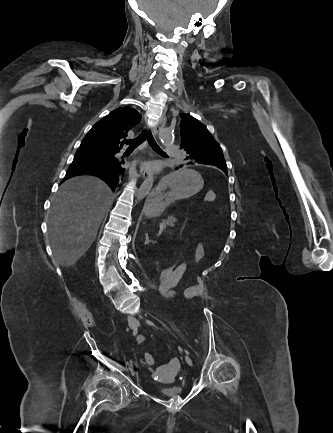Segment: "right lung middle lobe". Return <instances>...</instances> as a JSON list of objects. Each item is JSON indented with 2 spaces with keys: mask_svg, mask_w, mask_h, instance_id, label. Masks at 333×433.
Instances as JSON below:
<instances>
[{
  "mask_svg": "<svg viewBox=\"0 0 333 433\" xmlns=\"http://www.w3.org/2000/svg\"><path fill=\"white\" fill-rule=\"evenodd\" d=\"M78 156H92V157H108L113 156L115 153L105 152L102 150H98L94 147H88V146H80L77 150L76 154Z\"/></svg>",
  "mask_w": 333,
  "mask_h": 433,
  "instance_id": "1",
  "label": "right lung middle lobe"
}]
</instances>
